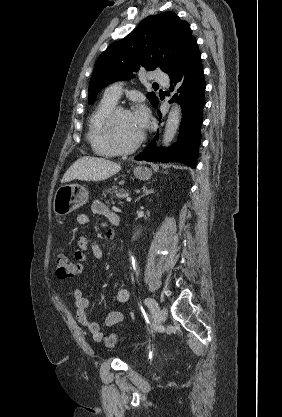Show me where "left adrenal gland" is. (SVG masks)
I'll return each mask as SVG.
<instances>
[{
	"label": "left adrenal gland",
	"instance_id": "1",
	"mask_svg": "<svg viewBox=\"0 0 282 417\" xmlns=\"http://www.w3.org/2000/svg\"><path fill=\"white\" fill-rule=\"evenodd\" d=\"M143 188V194H141V196H145V194H151V192H154V188H148V186H146V184H144V186H142ZM141 196H138V198H136L135 202H137V200H140Z\"/></svg>",
	"mask_w": 282,
	"mask_h": 417
}]
</instances>
